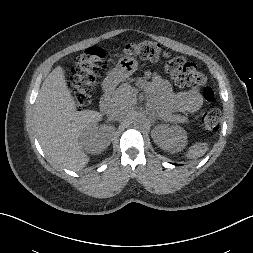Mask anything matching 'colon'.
<instances>
[{"label": "colon", "instance_id": "5ec220e1", "mask_svg": "<svg viewBox=\"0 0 253 253\" xmlns=\"http://www.w3.org/2000/svg\"><path fill=\"white\" fill-rule=\"evenodd\" d=\"M124 53L152 62L163 61L167 72L179 86L203 85L206 82V77L197 64L178 56H170L155 42L130 43L125 46ZM106 65V54L100 47L87 48L75 57V66L71 71L68 86L78 109L91 102L94 86L105 71ZM203 98L210 108L201 115L199 126L206 131H215L219 127L221 115L213 106L216 96L210 86L203 89Z\"/></svg>", "mask_w": 253, "mask_h": 253}]
</instances>
